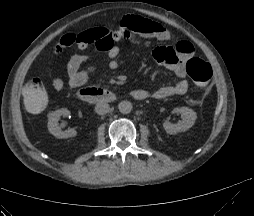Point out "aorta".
Segmentation results:
<instances>
[{
  "instance_id": "aorta-1",
  "label": "aorta",
  "mask_w": 254,
  "mask_h": 216,
  "mask_svg": "<svg viewBox=\"0 0 254 216\" xmlns=\"http://www.w3.org/2000/svg\"><path fill=\"white\" fill-rule=\"evenodd\" d=\"M132 108V103L129 101H121L118 105V109L122 114L130 113Z\"/></svg>"
}]
</instances>
